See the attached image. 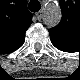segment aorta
Returning <instances> with one entry per match:
<instances>
[{
  "label": "aorta",
  "instance_id": "1",
  "mask_svg": "<svg viewBox=\"0 0 80 80\" xmlns=\"http://www.w3.org/2000/svg\"><path fill=\"white\" fill-rule=\"evenodd\" d=\"M62 13L61 9L58 5L51 7L48 5L46 7V13L44 15V22L48 26L54 27L58 25L61 21Z\"/></svg>",
  "mask_w": 80,
  "mask_h": 80
}]
</instances>
